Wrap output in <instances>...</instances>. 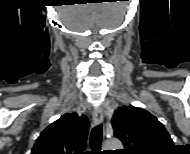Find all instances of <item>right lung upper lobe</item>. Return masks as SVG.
Wrapping results in <instances>:
<instances>
[{"mask_svg":"<svg viewBox=\"0 0 190 154\" xmlns=\"http://www.w3.org/2000/svg\"><path fill=\"white\" fill-rule=\"evenodd\" d=\"M88 130L89 122L84 115L66 113L40 134L31 154H81Z\"/></svg>","mask_w":190,"mask_h":154,"instance_id":"cb5924a9","label":"right lung upper lobe"}]
</instances>
